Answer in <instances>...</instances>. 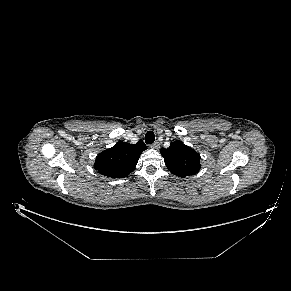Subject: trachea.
Instances as JSON below:
<instances>
[{
  "label": "trachea",
  "mask_w": 291,
  "mask_h": 291,
  "mask_svg": "<svg viewBox=\"0 0 291 291\" xmlns=\"http://www.w3.org/2000/svg\"><path fill=\"white\" fill-rule=\"evenodd\" d=\"M155 141V135L152 131H148L145 135L146 144H152Z\"/></svg>",
  "instance_id": "trachea-1"
}]
</instances>
